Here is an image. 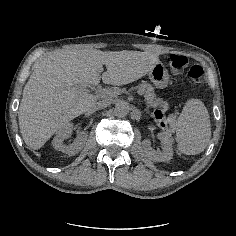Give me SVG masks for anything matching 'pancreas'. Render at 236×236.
Wrapping results in <instances>:
<instances>
[{
  "label": "pancreas",
  "instance_id": "obj_1",
  "mask_svg": "<svg viewBox=\"0 0 236 236\" xmlns=\"http://www.w3.org/2000/svg\"><path fill=\"white\" fill-rule=\"evenodd\" d=\"M124 91L125 90L120 89H109L105 91V96L103 97V99L111 102L113 98H117L118 95H120ZM136 91L139 94H144L147 107L155 108L157 106H163L166 103V100L163 97L156 98L154 88L146 82L141 83L136 88Z\"/></svg>",
  "mask_w": 236,
  "mask_h": 236
}]
</instances>
